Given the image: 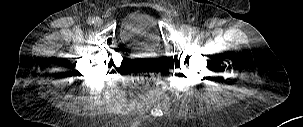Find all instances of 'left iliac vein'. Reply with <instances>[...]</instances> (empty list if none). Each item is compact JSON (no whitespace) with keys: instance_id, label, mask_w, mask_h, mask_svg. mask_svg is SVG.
<instances>
[{"instance_id":"4c4485c4","label":"left iliac vein","mask_w":303,"mask_h":127,"mask_svg":"<svg viewBox=\"0 0 303 127\" xmlns=\"http://www.w3.org/2000/svg\"><path fill=\"white\" fill-rule=\"evenodd\" d=\"M181 31L183 33L190 34V33H192V28L190 26H188V25H182L181 26Z\"/></svg>"}]
</instances>
